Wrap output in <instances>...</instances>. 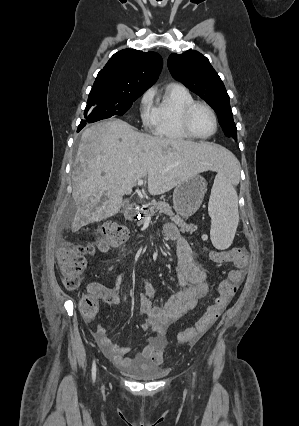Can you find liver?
<instances>
[{
    "label": "liver",
    "mask_w": 299,
    "mask_h": 426,
    "mask_svg": "<svg viewBox=\"0 0 299 426\" xmlns=\"http://www.w3.org/2000/svg\"><path fill=\"white\" fill-rule=\"evenodd\" d=\"M234 161L220 145L153 137L120 119L96 123L82 133L75 160L72 231L117 214L123 196L145 176L148 192L160 195L201 172L224 171Z\"/></svg>",
    "instance_id": "liver-1"
}]
</instances>
